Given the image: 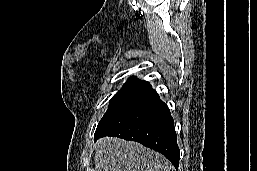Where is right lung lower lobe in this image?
Returning a JSON list of instances; mask_svg holds the SVG:
<instances>
[{
    "label": "right lung lower lobe",
    "mask_w": 257,
    "mask_h": 171,
    "mask_svg": "<svg viewBox=\"0 0 257 171\" xmlns=\"http://www.w3.org/2000/svg\"><path fill=\"white\" fill-rule=\"evenodd\" d=\"M104 136L137 141L163 154L178 169L180 150L174 120L153 89L132 100L98 127L95 141Z\"/></svg>",
    "instance_id": "obj_1"
}]
</instances>
